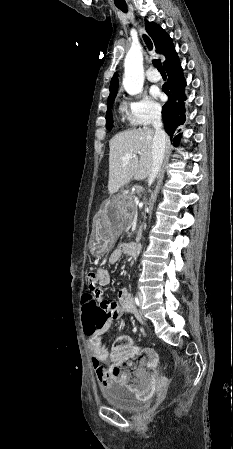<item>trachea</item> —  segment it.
Here are the masks:
<instances>
[{
	"label": "trachea",
	"instance_id": "1",
	"mask_svg": "<svg viewBox=\"0 0 233 449\" xmlns=\"http://www.w3.org/2000/svg\"><path fill=\"white\" fill-rule=\"evenodd\" d=\"M117 7H118V9H120L121 11H123L124 13L127 12V7H126V6H117ZM143 38H144V41H145L147 47L149 48V50H152V43H151V40H150L146 35H143ZM152 63H153V65L157 68V70H158L161 74H165V70H164V68H163L162 63H161L160 60L154 59V60L152 61Z\"/></svg>",
	"mask_w": 233,
	"mask_h": 449
}]
</instances>
